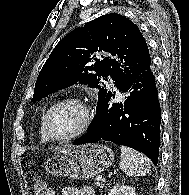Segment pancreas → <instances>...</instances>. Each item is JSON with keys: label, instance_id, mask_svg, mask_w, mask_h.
Here are the masks:
<instances>
[{"label": "pancreas", "instance_id": "cf45deb5", "mask_svg": "<svg viewBox=\"0 0 189 195\" xmlns=\"http://www.w3.org/2000/svg\"><path fill=\"white\" fill-rule=\"evenodd\" d=\"M96 185H97L98 187H103V185H102V184H99V183H96Z\"/></svg>", "mask_w": 189, "mask_h": 195}]
</instances>
